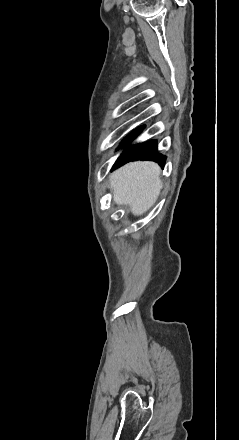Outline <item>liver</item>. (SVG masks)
<instances>
[{"instance_id":"obj_1","label":"liver","mask_w":239,"mask_h":440,"mask_svg":"<svg viewBox=\"0 0 239 440\" xmlns=\"http://www.w3.org/2000/svg\"><path fill=\"white\" fill-rule=\"evenodd\" d=\"M161 170L154 162H131L110 176L113 202L128 206L133 216H142L154 206L161 190Z\"/></svg>"}]
</instances>
